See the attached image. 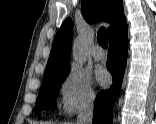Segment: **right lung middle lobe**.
<instances>
[{
	"mask_svg": "<svg viewBox=\"0 0 156 124\" xmlns=\"http://www.w3.org/2000/svg\"><path fill=\"white\" fill-rule=\"evenodd\" d=\"M69 74V70L54 76L43 78L39 95L36 100L35 111L39 114L43 109H54L56 98L65 78Z\"/></svg>",
	"mask_w": 156,
	"mask_h": 124,
	"instance_id": "1",
	"label": "right lung middle lobe"
}]
</instances>
